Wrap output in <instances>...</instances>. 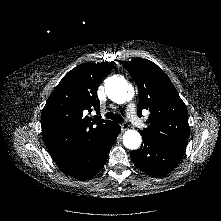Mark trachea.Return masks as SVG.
<instances>
[{"label":"trachea","mask_w":221,"mask_h":221,"mask_svg":"<svg viewBox=\"0 0 221 221\" xmlns=\"http://www.w3.org/2000/svg\"><path fill=\"white\" fill-rule=\"evenodd\" d=\"M106 117L108 119H113L114 121H116L117 123H122L123 122V118L121 117V115L119 114H115L113 112H107L106 113Z\"/></svg>","instance_id":"1"}]
</instances>
